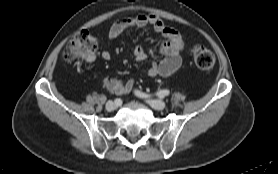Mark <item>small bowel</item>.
I'll use <instances>...</instances> for the list:
<instances>
[{
	"label": "small bowel",
	"mask_w": 278,
	"mask_h": 174,
	"mask_svg": "<svg viewBox=\"0 0 278 174\" xmlns=\"http://www.w3.org/2000/svg\"><path fill=\"white\" fill-rule=\"evenodd\" d=\"M146 26H151L154 31L160 34L164 39L160 48L163 59L159 63H153L148 68L147 74L150 77L170 76L176 72L182 64L181 52L184 49L185 43L181 33L167 26L158 16L147 14L117 20L111 25L108 36L110 39H115L127 29L143 28ZM101 58L105 61H109L111 59V54L108 51H103L101 53ZM146 58L147 54L144 48L141 45L137 46L133 51V60L139 63ZM94 59L95 55L88 58L89 61H93ZM103 86L114 94L125 95L133 90L135 81L133 79L124 81L120 78L107 77L103 79Z\"/></svg>",
	"instance_id": "1"
}]
</instances>
